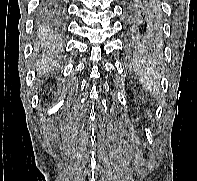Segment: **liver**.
Listing matches in <instances>:
<instances>
[{
    "mask_svg": "<svg viewBox=\"0 0 197 181\" xmlns=\"http://www.w3.org/2000/svg\"><path fill=\"white\" fill-rule=\"evenodd\" d=\"M56 66V62L49 58H43L37 62V70L39 74L46 73Z\"/></svg>",
    "mask_w": 197,
    "mask_h": 181,
    "instance_id": "1",
    "label": "liver"
}]
</instances>
